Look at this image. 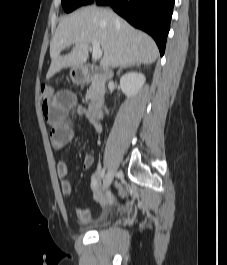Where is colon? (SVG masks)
<instances>
[{
  "instance_id": "1",
  "label": "colon",
  "mask_w": 227,
  "mask_h": 265,
  "mask_svg": "<svg viewBox=\"0 0 227 265\" xmlns=\"http://www.w3.org/2000/svg\"><path fill=\"white\" fill-rule=\"evenodd\" d=\"M40 97L41 102H51L55 98L52 87L49 85H42L40 87ZM119 190L122 195H127L126 191L122 187H120Z\"/></svg>"
}]
</instances>
